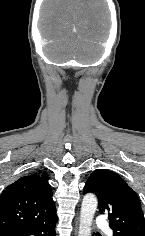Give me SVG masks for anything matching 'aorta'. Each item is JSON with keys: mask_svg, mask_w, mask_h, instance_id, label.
Returning <instances> with one entry per match:
<instances>
[{"mask_svg": "<svg viewBox=\"0 0 145 236\" xmlns=\"http://www.w3.org/2000/svg\"><path fill=\"white\" fill-rule=\"evenodd\" d=\"M97 198L93 194H86L83 198L80 212L78 236H91L92 221L97 209Z\"/></svg>", "mask_w": 145, "mask_h": 236, "instance_id": "aorta-1", "label": "aorta"}]
</instances>
